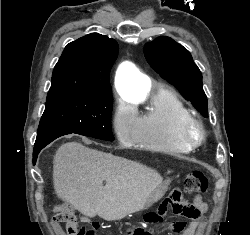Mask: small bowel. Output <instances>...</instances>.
Masks as SVG:
<instances>
[{
    "instance_id": "small-bowel-1",
    "label": "small bowel",
    "mask_w": 250,
    "mask_h": 235,
    "mask_svg": "<svg viewBox=\"0 0 250 235\" xmlns=\"http://www.w3.org/2000/svg\"><path fill=\"white\" fill-rule=\"evenodd\" d=\"M181 210H174L178 215L191 218V222L188 226L184 222H176L172 225V231L179 233V235H196L198 228L204 223L203 215L207 211V205L203 202H196L194 204H184L181 203ZM169 207H171V202H166L160 209L164 213ZM138 229L131 228L129 235H136Z\"/></svg>"
}]
</instances>
